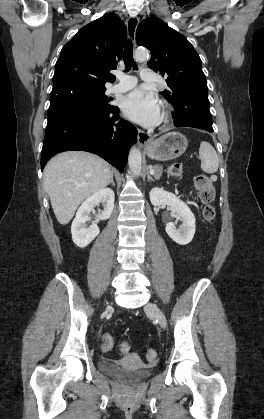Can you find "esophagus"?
<instances>
[{
  "label": "esophagus",
  "mask_w": 264,
  "mask_h": 419,
  "mask_svg": "<svg viewBox=\"0 0 264 419\" xmlns=\"http://www.w3.org/2000/svg\"><path fill=\"white\" fill-rule=\"evenodd\" d=\"M138 24L139 18L136 15L131 16L126 23L128 36L133 42H135V34ZM137 140L139 146H143L149 141V135L143 130L138 129Z\"/></svg>",
  "instance_id": "esophagus-1"
}]
</instances>
